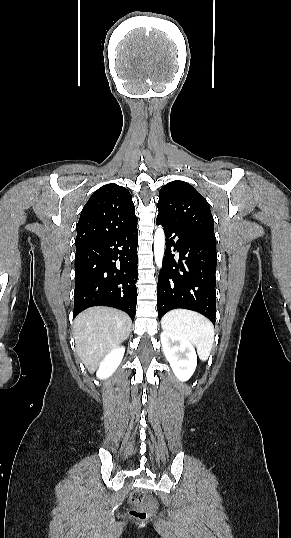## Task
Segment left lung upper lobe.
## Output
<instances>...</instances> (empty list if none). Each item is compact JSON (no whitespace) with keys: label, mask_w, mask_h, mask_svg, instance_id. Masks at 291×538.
<instances>
[{"label":"left lung upper lobe","mask_w":291,"mask_h":538,"mask_svg":"<svg viewBox=\"0 0 291 538\" xmlns=\"http://www.w3.org/2000/svg\"><path fill=\"white\" fill-rule=\"evenodd\" d=\"M158 216L186 231L215 236L214 219L205 198L189 183L175 180L159 192Z\"/></svg>","instance_id":"5c2ea615"}]
</instances>
